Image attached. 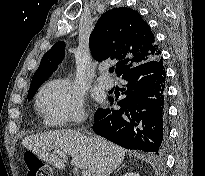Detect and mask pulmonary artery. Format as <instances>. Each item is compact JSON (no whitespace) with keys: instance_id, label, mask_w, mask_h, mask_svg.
Instances as JSON below:
<instances>
[{"instance_id":"obj_1","label":"pulmonary artery","mask_w":205,"mask_h":176,"mask_svg":"<svg viewBox=\"0 0 205 176\" xmlns=\"http://www.w3.org/2000/svg\"><path fill=\"white\" fill-rule=\"evenodd\" d=\"M98 82L99 84L104 87V88H107V89H110L113 87L114 83H113V79L108 77V76H101L98 78Z\"/></svg>"}]
</instances>
